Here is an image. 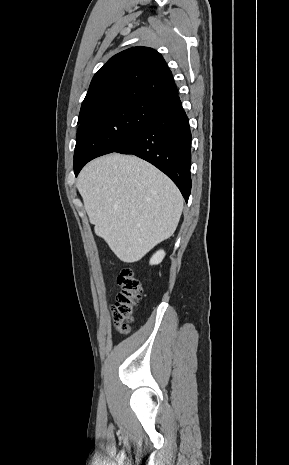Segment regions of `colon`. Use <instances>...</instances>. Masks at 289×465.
I'll list each match as a JSON object with an SVG mask.
<instances>
[{
    "instance_id": "5ec220e1",
    "label": "colon",
    "mask_w": 289,
    "mask_h": 465,
    "mask_svg": "<svg viewBox=\"0 0 289 465\" xmlns=\"http://www.w3.org/2000/svg\"><path fill=\"white\" fill-rule=\"evenodd\" d=\"M120 291L112 307L117 331L126 333L133 319L136 307L141 298L142 285L130 267L123 268L117 277Z\"/></svg>"
}]
</instances>
